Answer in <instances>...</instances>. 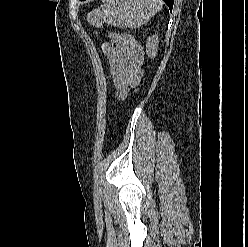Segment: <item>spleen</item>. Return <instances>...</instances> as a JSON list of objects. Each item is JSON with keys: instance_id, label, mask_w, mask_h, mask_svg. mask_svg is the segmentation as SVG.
Instances as JSON below:
<instances>
[{"instance_id": "obj_1", "label": "spleen", "mask_w": 248, "mask_h": 247, "mask_svg": "<svg viewBox=\"0 0 248 247\" xmlns=\"http://www.w3.org/2000/svg\"><path fill=\"white\" fill-rule=\"evenodd\" d=\"M103 5L87 14L98 28L103 23L120 28H138L162 9V0H102Z\"/></svg>"}]
</instances>
